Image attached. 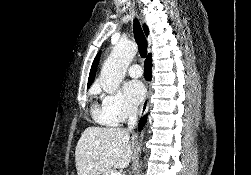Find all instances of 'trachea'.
Here are the masks:
<instances>
[{"instance_id":"obj_1","label":"trachea","mask_w":251,"mask_h":175,"mask_svg":"<svg viewBox=\"0 0 251 175\" xmlns=\"http://www.w3.org/2000/svg\"><path fill=\"white\" fill-rule=\"evenodd\" d=\"M133 32L136 43L138 45L139 54L142 58H145L147 55V41L146 37L142 31L139 21L135 18L133 24Z\"/></svg>"}]
</instances>
